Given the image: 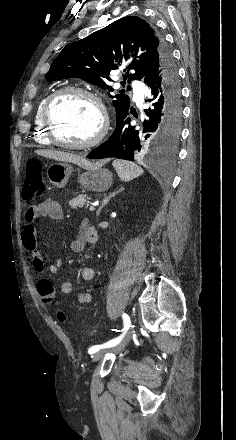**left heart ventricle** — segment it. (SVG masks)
<instances>
[{
	"instance_id": "1",
	"label": "left heart ventricle",
	"mask_w": 236,
	"mask_h": 440,
	"mask_svg": "<svg viewBox=\"0 0 236 440\" xmlns=\"http://www.w3.org/2000/svg\"><path fill=\"white\" fill-rule=\"evenodd\" d=\"M51 121L57 139L71 144L90 140L99 126V113L94 103L81 95L59 98L51 109Z\"/></svg>"
}]
</instances>
